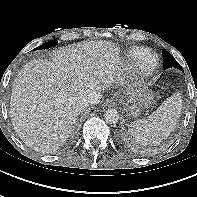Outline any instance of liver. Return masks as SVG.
<instances>
[{"mask_svg":"<svg viewBox=\"0 0 197 197\" xmlns=\"http://www.w3.org/2000/svg\"><path fill=\"white\" fill-rule=\"evenodd\" d=\"M118 48L109 41H86L57 49L52 61L34 59L14 80L10 117L29 147L42 153L59 148L73 131L82 99L122 81Z\"/></svg>","mask_w":197,"mask_h":197,"instance_id":"1","label":"liver"}]
</instances>
